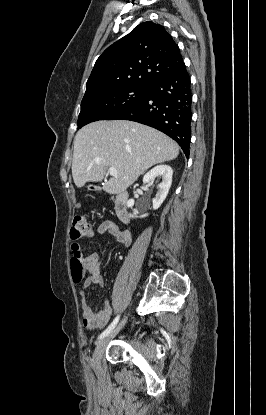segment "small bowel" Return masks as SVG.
<instances>
[{
    "mask_svg": "<svg viewBox=\"0 0 266 415\" xmlns=\"http://www.w3.org/2000/svg\"><path fill=\"white\" fill-rule=\"evenodd\" d=\"M99 234H109L113 236L120 244L128 247L132 243V237L129 231L121 230L111 221H105L99 225L97 229ZM73 254H80V245L78 243L71 244ZM84 268L88 271V276L84 280L83 289L90 286L103 287L104 281L101 276L102 259L98 253H91L81 258ZM80 306L83 324L89 329H97L104 327L112 314V307L109 301H105L101 308L92 309L84 295V291L80 292Z\"/></svg>",
    "mask_w": 266,
    "mask_h": 415,
    "instance_id": "small-bowel-1",
    "label": "small bowel"
}]
</instances>
